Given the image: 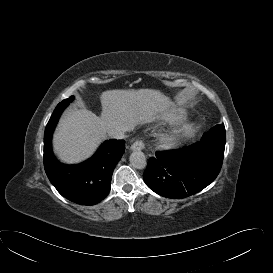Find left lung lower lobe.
Masks as SVG:
<instances>
[{"instance_id": "left-lung-lower-lobe-1", "label": "left lung lower lobe", "mask_w": 273, "mask_h": 273, "mask_svg": "<svg viewBox=\"0 0 273 273\" xmlns=\"http://www.w3.org/2000/svg\"><path fill=\"white\" fill-rule=\"evenodd\" d=\"M224 151L202 141L188 147L156 153L143 179L155 193L181 199L211 184L222 166Z\"/></svg>"}]
</instances>
